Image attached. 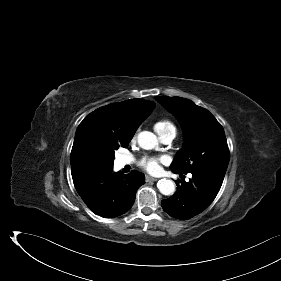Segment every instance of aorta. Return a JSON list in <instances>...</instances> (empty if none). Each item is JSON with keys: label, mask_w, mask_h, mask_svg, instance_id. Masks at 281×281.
Returning a JSON list of instances; mask_svg holds the SVG:
<instances>
[{"label": "aorta", "mask_w": 281, "mask_h": 281, "mask_svg": "<svg viewBox=\"0 0 281 281\" xmlns=\"http://www.w3.org/2000/svg\"><path fill=\"white\" fill-rule=\"evenodd\" d=\"M138 144L141 148L150 150L158 145V140L152 132L142 131L138 134ZM157 187L163 195H172L175 192V184L170 179L159 180Z\"/></svg>", "instance_id": "aorta-1"}]
</instances>
